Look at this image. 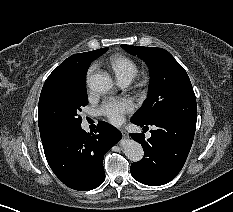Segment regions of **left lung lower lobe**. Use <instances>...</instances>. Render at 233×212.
Masks as SVG:
<instances>
[{
    "label": "left lung lower lobe",
    "instance_id": "0a47b994",
    "mask_svg": "<svg viewBox=\"0 0 233 212\" xmlns=\"http://www.w3.org/2000/svg\"><path fill=\"white\" fill-rule=\"evenodd\" d=\"M131 122L148 128L153 125L151 138L144 134H130L139 142L145 153L141 161L131 164V174L138 182L159 186L170 182L182 169L193 142L196 120L161 116L148 124L131 119Z\"/></svg>",
    "mask_w": 233,
    "mask_h": 212
}]
</instances>
